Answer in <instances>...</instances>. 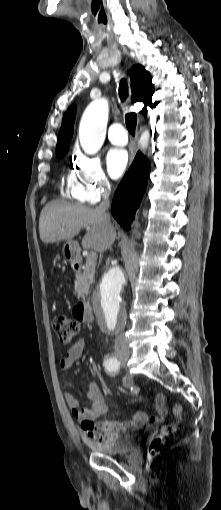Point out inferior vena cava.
I'll use <instances>...</instances> for the list:
<instances>
[{"label": "inferior vena cava", "mask_w": 221, "mask_h": 510, "mask_svg": "<svg viewBox=\"0 0 221 510\" xmlns=\"http://www.w3.org/2000/svg\"><path fill=\"white\" fill-rule=\"evenodd\" d=\"M111 188L110 185H106L104 192L102 194L103 201L100 203V205L96 208L97 212L100 213L104 223L108 227H112L110 216L107 213V210L110 206L109 196H110ZM115 352H128V342L125 337L124 331H120L115 339V346H114Z\"/></svg>", "instance_id": "1"}]
</instances>
